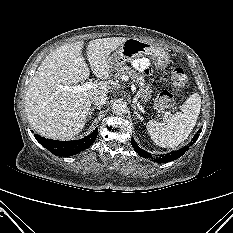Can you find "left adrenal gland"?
I'll use <instances>...</instances> for the list:
<instances>
[{"label": "left adrenal gland", "instance_id": "1", "mask_svg": "<svg viewBox=\"0 0 233 233\" xmlns=\"http://www.w3.org/2000/svg\"><path fill=\"white\" fill-rule=\"evenodd\" d=\"M134 114L136 115L137 118H139L140 120H142V117L136 111H134Z\"/></svg>", "mask_w": 233, "mask_h": 233}]
</instances>
